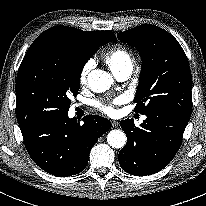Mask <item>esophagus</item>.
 Returning a JSON list of instances; mask_svg holds the SVG:
<instances>
[{"instance_id":"1","label":"esophagus","mask_w":206,"mask_h":206,"mask_svg":"<svg viewBox=\"0 0 206 206\" xmlns=\"http://www.w3.org/2000/svg\"><path fill=\"white\" fill-rule=\"evenodd\" d=\"M111 124H112L113 127H118L119 126V122L116 121V120H112Z\"/></svg>"}]
</instances>
